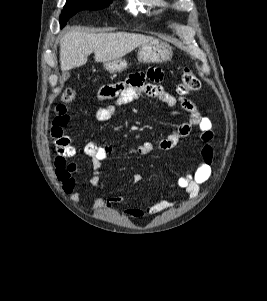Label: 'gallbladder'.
<instances>
[{
	"mask_svg": "<svg viewBox=\"0 0 267 301\" xmlns=\"http://www.w3.org/2000/svg\"><path fill=\"white\" fill-rule=\"evenodd\" d=\"M69 77H70V74L68 72H63L62 76L60 77V79L62 81H66Z\"/></svg>",
	"mask_w": 267,
	"mask_h": 301,
	"instance_id": "obj_1",
	"label": "gallbladder"
}]
</instances>
